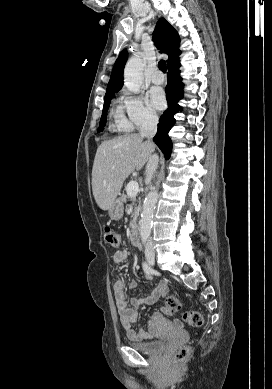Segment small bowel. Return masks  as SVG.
Segmentation results:
<instances>
[{"instance_id":"small-bowel-1","label":"small bowel","mask_w":272,"mask_h":389,"mask_svg":"<svg viewBox=\"0 0 272 389\" xmlns=\"http://www.w3.org/2000/svg\"><path fill=\"white\" fill-rule=\"evenodd\" d=\"M128 256V251L125 249L118 250L113 254V261L115 263H122ZM131 289L137 287V282L132 280L129 283ZM114 297L116 301V306L120 316L121 325L130 340L133 341H142L152 339L154 333L152 331V325L160 319L161 315L159 313H154L151 320L149 321V330L139 329L136 330L133 324L138 318V308L142 305H152L159 298L164 297L168 291L169 287L167 283L160 282L153 293L146 298H132L130 302L126 300V294L124 289V282L117 280L113 285ZM165 312V309H163Z\"/></svg>"}]
</instances>
